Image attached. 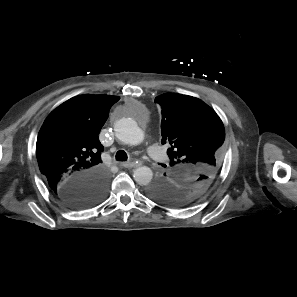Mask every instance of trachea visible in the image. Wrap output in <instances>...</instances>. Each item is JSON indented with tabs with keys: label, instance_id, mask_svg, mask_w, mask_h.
<instances>
[{
	"label": "trachea",
	"instance_id": "trachea-1",
	"mask_svg": "<svg viewBox=\"0 0 297 297\" xmlns=\"http://www.w3.org/2000/svg\"><path fill=\"white\" fill-rule=\"evenodd\" d=\"M115 157L117 161H126L128 159L127 153L124 150L117 151Z\"/></svg>",
	"mask_w": 297,
	"mask_h": 297
}]
</instances>
